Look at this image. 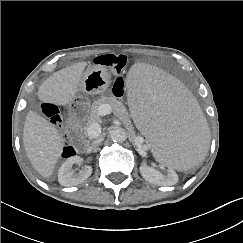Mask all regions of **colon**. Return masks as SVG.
Segmentation results:
<instances>
[{"mask_svg":"<svg viewBox=\"0 0 243 243\" xmlns=\"http://www.w3.org/2000/svg\"><path fill=\"white\" fill-rule=\"evenodd\" d=\"M127 56L124 54H105L100 55L95 59V64L99 67L110 69L116 76L113 84V93L117 97L124 95L125 87L124 81L120 76V73L124 70L127 64ZM43 114L56 126H63V119L58 106L52 103H44L42 105ZM78 149V142L76 138L71 137L68 133L65 136L64 144L61 150V156L63 158L72 157Z\"/></svg>","mask_w":243,"mask_h":243,"instance_id":"5ec220e1","label":"colon"}]
</instances>
